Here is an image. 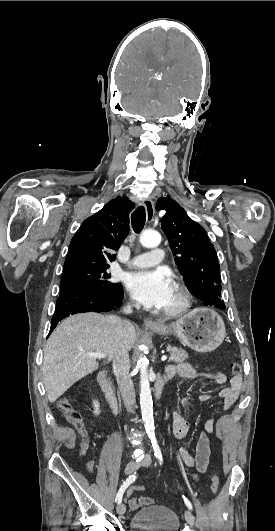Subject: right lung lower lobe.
Returning a JSON list of instances; mask_svg holds the SVG:
<instances>
[{
	"label": "right lung lower lobe",
	"mask_w": 275,
	"mask_h": 531,
	"mask_svg": "<svg viewBox=\"0 0 275 531\" xmlns=\"http://www.w3.org/2000/svg\"><path fill=\"white\" fill-rule=\"evenodd\" d=\"M123 296L121 285L106 292H100L93 287L79 284L61 287L49 334L65 317L82 312L110 311L121 304L120 301Z\"/></svg>",
	"instance_id": "right-lung-lower-lobe-1"
}]
</instances>
